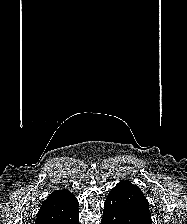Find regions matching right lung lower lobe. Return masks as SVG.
Listing matches in <instances>:
<instances>
[{
  "instance_id": "1",
  "label": "right lung lower lobe",
  "mask_w": 187,
  "mask_h": 224,
  "mask_svg": "<svg viewBox=\"0 0 187 224\" xmlns=\"http://www.w3.org/2000/svg\"><path fill=\"white\" fill-rule=\"evenodd\" d=\"M63 224H79L78 223V210Z\"/></svg>"
}]
</instances>
